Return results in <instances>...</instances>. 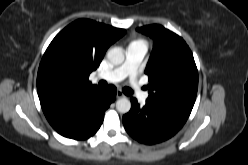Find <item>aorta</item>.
<instances>
[{"label":"aorta","instance_id":"762f6f07","mask_svg":"<svg viewBox=\"0 0 248 165\" xmlns=\"http://www.w3.org/2000/svg\"><path fill=\"white\" fill-rule=\"evenodd\" d=\"M107 58L113 65H120L123 63L125 57L121 50L112 48L107 52ZM116 109L120 113H128L131 109V102L127 98H120L116 102Z\"/></svg>","mask_w":248,"mask_h":165}]
</instances>
